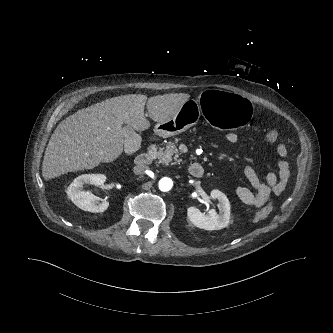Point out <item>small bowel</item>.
<instances>
[{"label":"small bowel","instance_id":"c3829d8e","mask_svg":"<svg viewBox=\"0 0 333 333\" xmlns=\"http://www.w3.org/2000/svg\"><path fill=\"white\" fill-rule=\"evenodd\" d=\"M225 139L227 143L234 145L238 141V135L235 132H228ZM277 153L279 155L277 160L279 171L278 173H268L265 180L258 176L251 165L244 166V176L252 188L245 186L237 188L236 195L243 203L261 207L270 196H278L284 191L290 176L288 149L284 140L278 142Z\"/></svg>","mask_w":333,"mask_h":333}]
</instances>
